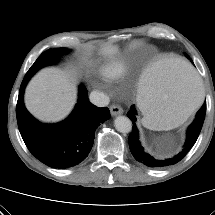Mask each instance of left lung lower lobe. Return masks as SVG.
<instances>
[{
    "label": "left lung lower lobe",
    "instance_id": "obj_1",
    "mask_svg": "<svg viewBox=\"0 0 215 215\" xmlns=\"http://www.w3.org/2000/svg\"><path fill=\"white\" fill-rule=\"evenodd\" d=\"M205 113H206V102L197 112L196 118L188 127L186 141L183 146V149L172 158L162 159V158H157L150 155L142 147L139 140L138 129L135 123L137 112L135 110V107L131 106L130 111L127 113V116L132 120V123H133L132 132L129 136V146H130L132 155L135 157L137 161L143 163L148 167L161 168V167H167V166L176 164L186 156V154L190 151V149L195 144L205 119Z\"/></svg>",
    "mask_w": 215,
    "mask_h": 215
}]
</instances>
